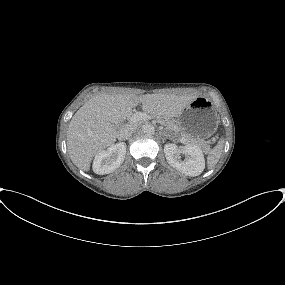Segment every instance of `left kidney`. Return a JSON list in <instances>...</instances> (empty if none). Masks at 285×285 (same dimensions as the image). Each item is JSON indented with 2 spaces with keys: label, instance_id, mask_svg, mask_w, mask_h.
<instances>
[{
  "label": "left kidney",
  "instance_id": "5707ae66",
  "mask_svg": "<svg viewBox=\"0 0 285 285\" xmlns=\"http://www.w3.org/2000/svg\"><path fill=\"white\" fill-rule=\"evenodd\" d=\"M164 153L167 162L185 175L198 176L205 168L203 152L196 145L187 144L179 149L176 144L169 143L164 146ZM180 153L188 155V158L182 161L179 156Z\"/></svg>",
  "mask_w": 285,
  "mask_h": 285
}]
</instances>
